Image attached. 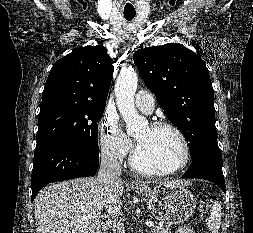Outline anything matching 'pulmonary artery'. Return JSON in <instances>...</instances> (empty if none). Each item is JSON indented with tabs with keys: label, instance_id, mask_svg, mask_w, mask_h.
<instances>
[{
	"label": "pulmonary artery",
	"instance_id": "e3ab8cb5",
	"mask_svg": "<svg viewBox=\"0 0 253 233\" xmlns=\"http://www.w3.org/2000/svg\"><path fill=\"white\" fill-rule=\"evenodd\" d=\"M134 102L136 107L143 113L151 114L155 109V100L149 91H138L135 95Z\"/></svg>",
	"mask_w": 253,
	"mask_h": 233
}]
</instances>
